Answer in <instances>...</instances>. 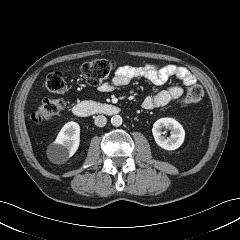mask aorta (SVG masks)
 <instances>
[{"mask_svg": "<svg viewBox=\"0 0 240 240\" xmlns=\"http://www.w3.org/2000/svg\"><path fill=\"white\" fill-rule=\"evenodd\" d=\"M111 124L115 127L122 125V117L120 115H115L111 118Z\"/></svg>", "mask_w": 240, "mask_h": 240, "instance_id": "762f6f07", "label": "aorta"}]
</instances>
